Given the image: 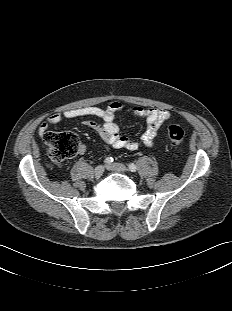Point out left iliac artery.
<instances>
[{
  "instance_id": "1",
  "label": "left iliac artery",
  "mask_w": 232,
  "mask_h": 311,
  "mask_svg": "<svg viewBox=\"0 0 232 311\" xmlns=\"http://www.w3.org/2000/svg\"><path fill=\"white\" fill-rule=\"evenodd\" d=\"M128 168H129V170H130L131 172H136V170H137L136 165L133 164V163H130V164L128 165Z\"/></svg>"
}]
</instances>
